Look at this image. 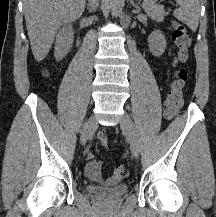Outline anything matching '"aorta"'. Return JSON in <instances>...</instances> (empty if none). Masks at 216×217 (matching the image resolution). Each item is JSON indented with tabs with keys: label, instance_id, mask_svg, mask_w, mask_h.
I'll return each mask as SVG.
<instances>
[{
	"label": "aorta",
	"instance_id": "aorta-1",
	"mask_svg": "<svg viewBox=\"0 0 216 217\" xmlns=\"http://www.w3.org/2000/svg\"><path fill=\"white\" fill-rule=\"evenodd\" d=\"M112 15L117 17L122 12V0H109Z\"/></svg>",
	"mask_w": 216,
	"mask_h": 217
}]
</instances>
